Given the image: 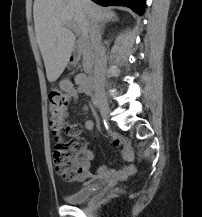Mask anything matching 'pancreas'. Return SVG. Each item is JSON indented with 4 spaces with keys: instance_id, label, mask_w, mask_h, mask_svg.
<instances>
[{
    "instance_id": "obj_1",
    "label": "pancreas",
    "mask_w": 202,
    "mask_h": 217,
    "mask_svg": "<svg viewBox=\"0 0 202 217\" xmlns=\"http://www.w3.org/2000/svg\"><path fill=\"white\" fill-rule=\"evenodd\" d=\"M80 46L82 47L83 50V66L85 69L89 70L91 67L90 63V51L88 49V43L85 40H82L80 42Z\"/></svg>"
}]
</instances>
